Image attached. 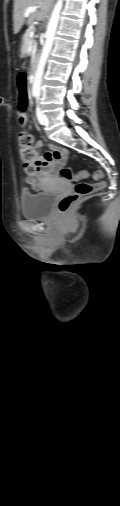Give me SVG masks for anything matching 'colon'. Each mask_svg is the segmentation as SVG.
Returning a JSON list of instances; mask_svg holds the SVG:
<instances>
[{
  "mask_svg": "<svg viewBox=\"0 0 120 506\" xmlns=\"http://www.w3.org/2000/svg\"><path fill=\"white\" fill-rule=\"evenodd\" d=\"M15 77L17 79L19 92L17 108L18 123L24 125L28 106L26 80L29 77V72L27 69H17ZM19 156L23 170L27 174L35 173L39 167V156L33 145V138L29 133L21 132L19 135ZM86 175L87 173L85 171H75L71 168H62L60 170V176L63 179L77 182L74 192L59 200L57 208L60 213L67 212L77 201L104 187L105 183L103 181H98L94 184L80 181V179ZM102 177L103 173L101 171L95 172V179L100 180Z\"/></svg>",
  "mask_w": 120,
  "mask_h": 506,
  "instance_id": "obj_1",
  "label": "colon"
}]
</instances>
